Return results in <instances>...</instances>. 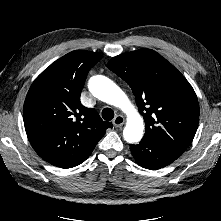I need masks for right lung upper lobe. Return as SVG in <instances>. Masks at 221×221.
Instances as JSON below:
<instances>
[{"instance_id":"obj_1","label":"right lung upper lobe","mask_w":221,"mask_h":221,"mask_svg":"<svg viewBox=\"0 0 221 221\" xmlns=\"http://www.w3.org/2000/svg\"><path fill=\"white\" fill-rule=\"evenodd\" d=\"M101 58L90 51H72L46 68L27 93L23 120L29 142L54 166L81 164L113 127L80 103L87 74Z\"/></svg>"}]
</instances>
